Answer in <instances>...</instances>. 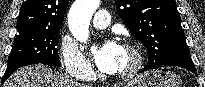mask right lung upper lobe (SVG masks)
<instances>
[{
  "label": "right lung upper lobe",
  "instance_id": "obj_1",
  "mask_svg": "<svg viewBox=\"0 0 205 87\" xmlns=\"http://www.w3.org/2000/svg\"><path fill=\"white\" fill-rule=\"evenodd\" d=\"M69 0H27L19 13L18 31L56 30L62 26Z\"/></svg>",
  "mask_w": 205,
  "mask_h": 87
}]
</instances>
